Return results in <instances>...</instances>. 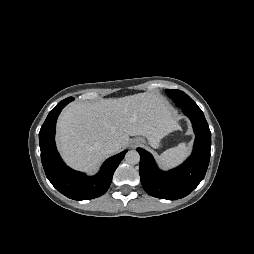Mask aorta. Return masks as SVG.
<instances>
[{
  "mask_svg": "<svg viewBox=\"0 0 254 254\" xmlns=\"http://www.w3.org/2000/svg\"><path fill=\"white\" fill-rule=\"evenodd\" d=\"M125 160L128 164L135 165L139 163L140 155L136 150H131L126 153Z\"/></svg>",
  "mask_w": 254,
  "mask_h": 254,
  "instance_id": "1",
  "label": "aorta"
}]
</instances>
